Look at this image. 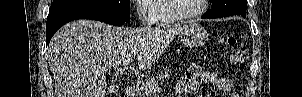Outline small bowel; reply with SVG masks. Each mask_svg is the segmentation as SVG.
Masks as SVG:
<instances>
[{"label":"small bowel","mask_w":302,"mask_h":97,"mask_svg":"<svg viewBox=\"0 0 302 97\" xmlns=\"http://www.w3.org/2000/svg\"><path fill=\"white\" fill-rule=\"evenodd\" d=\"M202 84L213 85L219 97H237L231 80L224 74L205 69L199 65L189 66L176 83L175 91L181 93H197Z\"/></svg>","instance_id":"1"}]
</instances>
